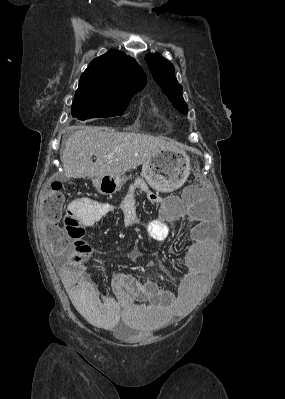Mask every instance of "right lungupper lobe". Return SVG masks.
I'll return each mask as SVG.
<instances>
[{"mask_svg":"<svg viewBox=\"0 0 285 399\" xmlns=\"http://www.w3.org/2000/svg\"><path fill=\"white\" fill-rule=\"evenodd\" d=\"M146 83V75L134 59L119 50H110L91 61L80 77L75 97H110L136 93Z\"/></svg>","mask_w":285,"mask_h":399,"instance_id":"cb5924a9","label":"right lung upper lobe"}]
</instances>
